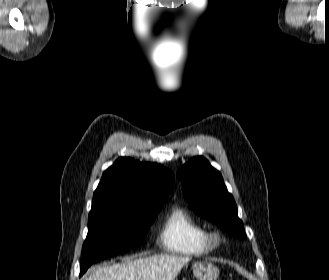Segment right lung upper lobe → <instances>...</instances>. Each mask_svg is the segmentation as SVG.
<instances>
[{
	"instance_id": "1",
	"label": "right lung upper lobe",
	"mask_w": 329,
	"mask_h": 280,
	"mask_svg": "<svg viewBox=\"0 0 329 280\" xmlns=\"http://www.w3.org/2000/svg\"><path fill=\"white\" fill-rule=\"evenodd\" d=\"M173 184L174 174L163 166L121 157L103 173L92 207L109 201L144 204L167 199Z\"/></svg>"
}]
</instances>
